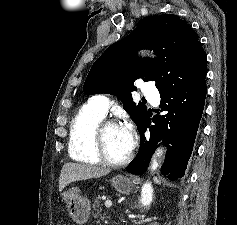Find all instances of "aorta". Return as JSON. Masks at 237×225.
<instances>
[{"label":"aorta","mask_w":237,"mask_h":225,"mask_svg":"<svg viewBox=\"0 0 237 225\" xmlns=\"http://www.w3.org/2000/svg\"><path fill=\"white\" fill-rule=\"evenodd\" d=\"M161 154H162V149H158L153 157V160L151 162V169L153 171L156 170L158 167L157 157H159ZM152 194H153L152 186L150 184H144L141 191L142 204L144 205L149 204L152 199Z\"/></svg>","instance_id":"1"}]
</instances>
